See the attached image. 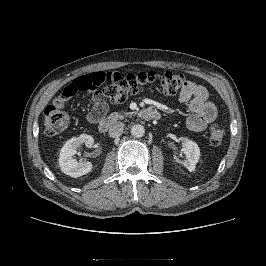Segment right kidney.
Returning <instances> with one entry per match:
<instances>
[{
  "label": "right kidney",
  "instance_id": "obj_1",
  "mask_svg": "<svg viewBox=\"0 0 266 266\" xmlns=\"http://www.w3.org/2000/svg\"><path fill=\"white\" fill-rule=\"evenodd\" d=\"M93 143V137L87 134H81L66 141L59 155V166L62 172L74 178L89 173L92 170V163L78 162L73 156L77 153V147L81 144L91 147Z\"/></svg>",
  "mask_w": 266,
  "mask_h": 266
}]
</instances>
